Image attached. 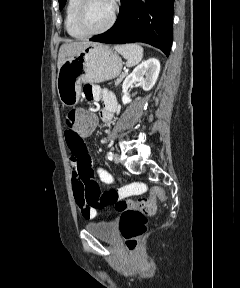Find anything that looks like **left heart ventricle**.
Here are the masks:
<instances>
[{
    "label": "left heart ventricle",
    "mask_w": 240,
    "mask_h": 288,
    "mask_svg": "<svg viewBox=\"0 0 240 288\" xmlns=\"http://www.w3.org/2000/svg\"><path fill=\"white\" fill-rule=\"evenodd\" d=\"M111 12V1L89 0L84 14V24L90 30H97L107 23Z\"/></svg>",
    "instance_id": "obj_1"
}]
</instances>
